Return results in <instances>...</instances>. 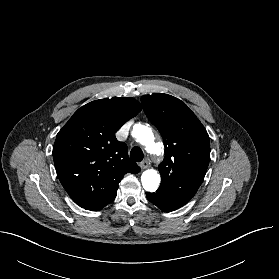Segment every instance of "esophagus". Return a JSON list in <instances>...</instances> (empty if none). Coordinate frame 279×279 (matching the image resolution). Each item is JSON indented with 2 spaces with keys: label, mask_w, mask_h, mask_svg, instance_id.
I'll return each mask as SVG.
<instances>
[{
  "label": "esophagus",
  "mask_w": 279,
  "mask_h": 279,
  "mask_svg": "<svg viewBox=\"0 0 279 279\" xmlns=\"http://www.w3.org/2000/svg\"><path fill=\"white\" fill-rule=\"evenodd\" d=\"M140 166L142 169H148L150 167V161L145 159L140 163Z\"/></svg>",
  "instance_id": "esophagus-1"
}]
</instances>
